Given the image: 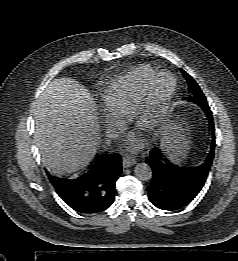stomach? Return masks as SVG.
<instances>
[{"mask_svg":"<svg viewBox=\"0 0 238 261\" xmlns=\"http://www.w3.org/2000/svg\"><path fill=\"white\" fill-rule=\"evenodd\" d=\"M165 137V151L172 158H178L184 151L187 143V132L184 123L178 115H173L160 130Z\"/></svg>","mask_w":238,"mask_h":261,"instance_id":"1","label":"stomach"}]
</instances>
